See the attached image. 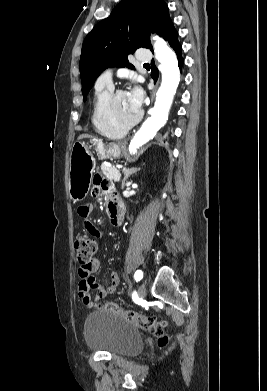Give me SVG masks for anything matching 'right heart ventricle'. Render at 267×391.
Returning <instances> with one entry per match:
<instances>
[{"mask_svg": "<svg viewBox=\"0 0 267 391\" xmlns=\"http://www.w3.org/2000/svg\"><path fill=\"white\" fill-rule=\"evenodd\" d=\"M111 93L112 88L96 87L93 98L91 119L99 134L108 138L116 139L123 137L127 130L116 126L107 114L106 102Z\"/></svg>", "mask_w": 267, "mask_h": 391, "instance_id": "right-heart-ventricle-1", "label": "right heart ventricle"}]
</instances>
